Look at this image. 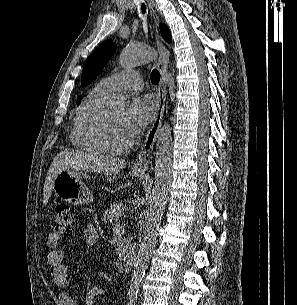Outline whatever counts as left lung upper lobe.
Instances as JSON below:
<instances>
[{
	"mask_svg": "<svg viewBox=\"0 0 297 305\" xmlns=\"http://www.w3.org/2000/svg\"><path fill=\"white\" fill-rule=\"evenodd\" d=\"M160 30L162 37L166 42L171 43V34L168 27L164 24H160ZM116 45L107 40L100 44L92 54L85 61L83 72L81 75V85H89L94 78H96L103 70L104 66L107 64L109 58L113 55ZM82 96L78 97L77 102L79 103Z\"/></svg>",
	"mask_w": 297,
	"mask_h": 305,
	"instance_id": "1",
	"label": "left lung upper lobe"
}]
</instances>
